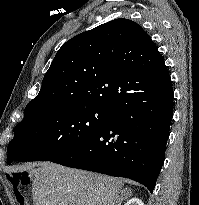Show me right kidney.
I'll return each instance as SVG.
<instances>
[{
	"mask_svg": "<svg viewBox=\"0 0 199 205\" xmlns=\"http://www.w3.org/2000/svg\"><path fill=\"white\" fill-rule=\"evenodd\" d=\"M125 205H144V203L139 198H132Z\"/></svg>",
	"mask_w": 199,
	"mask_h": 205,
	"instance_id": "right-kidney-1",
	"label": "right kidney"
}]
</instances>
